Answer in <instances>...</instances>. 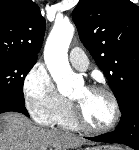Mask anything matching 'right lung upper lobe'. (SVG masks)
<instances>
[{"label": "right lung upper lobe", "mask_w": 139, "mask_h": 150, "mask_svg": "<svg viewBox=\"0 0 139 150\" xmlns=\"http://www.w3.org/2000/svg\"><path fill=\"white\" fill-rule=\"evenodd\" d=\"M45 20L31 0L0 1V52L37 59Z\"/></svg>", "instance_id": "obj_1"}]
</instances>
